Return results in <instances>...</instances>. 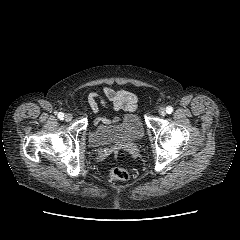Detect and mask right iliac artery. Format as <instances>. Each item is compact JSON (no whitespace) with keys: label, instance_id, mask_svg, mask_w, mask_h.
I'll use <instances>...</instances> for the list:
<instances>
[{"label":"right iliac artery","instance_id":"right-iliac-artery-1","mask_svg":"<svg viewBox=\"0 0 240 240\" xmlns=\"http://www.w3.org/2000/svg\"><path fill=\"white\" fill-rule=\"evenodd\" d=\"M64 113H62V112H60V113H58V118L60 119V120H63L64 119Z\"/></svg>","mask_w":240,"mask_h":240}]
</instances>
